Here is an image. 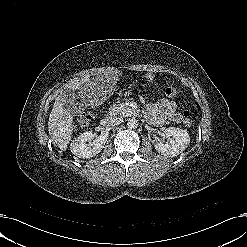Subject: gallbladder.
I'll return each instance as SVG.
<instances>
[{
  "label": "gallbladder",
  "mask_w": 247,
  "mask_h": 247,
  "mask_svg": "<svg viewBox=\"0 0 247 247\" xmlns=\"http://www.w3.org/2000/svg\"><path fill=\"white\" fill-rule=\"evenodd\" d=\"M61 97L64 102V108L68 110L71 114L75 115L77 113L78 108L74 104L73 91L67 88L62 92Z\"/></svg>",
  "instance_id": "1"
}]
</instances>
